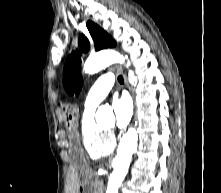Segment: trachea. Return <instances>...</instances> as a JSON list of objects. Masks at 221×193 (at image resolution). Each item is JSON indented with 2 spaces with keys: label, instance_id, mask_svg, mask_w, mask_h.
<instances>
[{
  "label": "trachea",
  "instance_id": "1",
  "mask_svg": "<svg viewBox=\"0 0 221 193\" xmlns=\"http://www.w3.org/2000/svg\"><path fill=\"white\" fill-rule=\"evenodd\" d=\"M118 81H119V83H121V84L124 83L123 76L120 75V76L118 77Z\"/></svg>",
  "mask_w": 221,
  "mask_h": 193
}]
</instances>
